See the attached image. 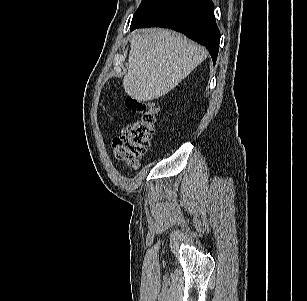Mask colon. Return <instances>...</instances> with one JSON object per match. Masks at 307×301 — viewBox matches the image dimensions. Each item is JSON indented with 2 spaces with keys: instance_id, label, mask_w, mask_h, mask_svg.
Wrapping results in <instances>:
<instances>
[{
  "instance_id": "colon-1",
  "label": "colon",
  "mask_w": 307,
  "mask_h": 301,
  "mask_svg": "<svg viewBox=\"0 0 307 301\" xmlns=\"http://www.w3.org/2000/svg\"><path fill=\"white\" fill-rule=\"evenodd\" d=\"M126 104L138 116L114 139L113 147L119 160L136 169L149 148L159 108L155 101L136 98L127 99Z\"/></svg>"
}]
</instances>
